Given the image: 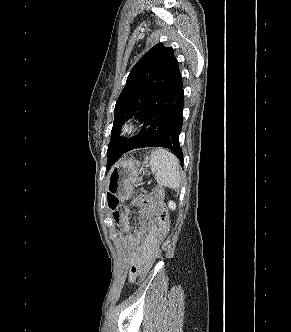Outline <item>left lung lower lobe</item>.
I'll list each match as a JSON object with an SVG mask.
<instances>
[{"label": "left lung lower lobe", "mask_w": 291, "mask_h": 332, "mask_svg": "<svg viewBox=\"0 0 291 332\" xmlns=\"http://www.w3.org/2000/svg\"><path fill=\"white\" fill-rule=\"evenodd\" d=\"M184 91L179 68L164 89L154 97L145 110L140 122L143 130L119 149L108 160L110 168L124 153L142 147H163L170 149L176 158L183 162V153L179 144L182 130Z\"/></svg>", "instance_id": "left-lung-lower-lobe-1"}]
</instances>
